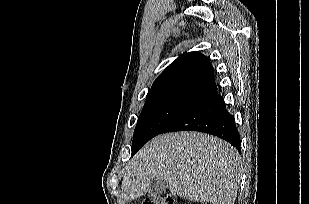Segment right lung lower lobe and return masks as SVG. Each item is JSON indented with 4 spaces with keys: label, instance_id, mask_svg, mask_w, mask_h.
Segmentation results:
<instances>
[{
    "label": "right lung lower lobe",
    "instance_id": "98d812e1",
    "mask_svg": "<svg viewBox=\"0 0 309 204\" xmlns=\"http://www.w3.org/2000/svg\"><path fill=\"white\" fill-rule=\"evenodd\" d=\"M200 131L220 137L241 150L240 135L234 117L227 111L224 99L216 95L205 100L169 124L161 133Z\"/></svg>",
    "mask_w": 309,
    "mask_h": 204
}]
</instances>
